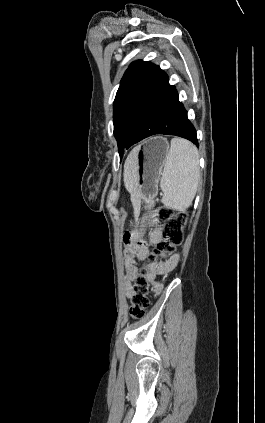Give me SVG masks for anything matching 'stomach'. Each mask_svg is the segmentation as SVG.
I'll return each instance as SVG.
<instances>
[{"instance_id":"1","label":"stomach","mask_w":265,"mask_h":423,"mask_svg":"<svg viewBox=\"0 0 265 423\" xmlns=\"http://www.w3.org/2000/svg\"><path fill=\"white\" fill-rule=\"evenodd\" d=\"M169 153L168 141L160 136L143 141L133 150L136 164V187L142 197L149 201L146 208L153 207V198L157 194V184Z\"/></svg>"}]
</instances>
